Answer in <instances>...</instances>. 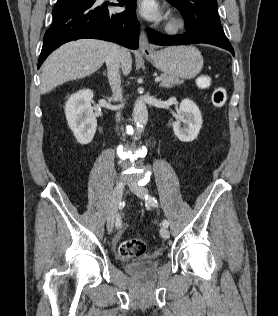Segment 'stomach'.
<instances>
[{"mask_svg": "<svg viewBox=\"0 0 278 316\" xmlns=\"http://www.w3.org/2000/svg\"><path fill=\"white\" fill-rule=\"evenodd\" d=\"M158 70L166 75L192 79L203 67V57L192 46H174L145 55Z\"/></svg>", "mask_w": 278, "mask_h": 316, "instance_id": "obj_1", "label": "stomach"}]
</instances>
